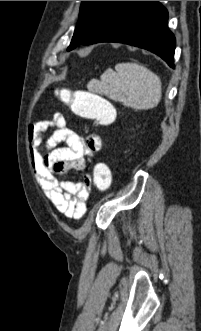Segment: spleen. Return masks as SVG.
Listing matches in <instances>:
<instances>
[{
    "label": "spleen",
    "mask_w": 201,
    "mask_h": 331,
    "mask_svg": "<svg viewBox=\"0 0 201 331\" xmlns=\"http://www.w3.org/2000/svg\"><path fill=\"white\" fill-rule=\"evenodd\" d=\"M96 91L135 110L156 107L162 96L161 80L137 63H120L108 68L96 83Z\"/></svg>",
    "instance_id": "spleen-1"
}]
</instances>
